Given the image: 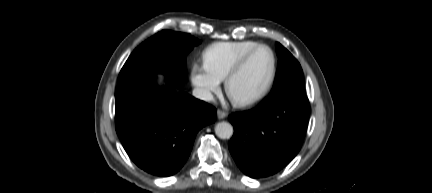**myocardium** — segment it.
<instances>
[{"label":"myocardium","mask_w":432,"mask_h":193,"mask_svg":"<svg viewBox=\"0 0 432 193\" xmlns=\"http://www.w3.org/2000/svg\"><path fill=\"white\" fill-rule=\"evenodd\" d=\"M267 49L270 51L271 55H272V69H271V73L269 76V79L265 85V87L262 89L261 92H259L257 95L250 97V98H246V99H236L232 96L231 91H230V85L232 80L234 79L235 76L238 75V73L243 69V67L246 65V63L248 62V60L250 59V57L257 52L259 49ZM276 74H277V55L276 52L274 51V49L267 45V44H258L257 46L253 47L252 49H250L248 52H246L233 66L232 68L229 70V72L227 73L225 79H224V86H225V91L227 96L229 97V99L231 100V102L239 108H248L251 107L257 103H259L260 101H262L270 92L275 78H276Z\"/></svg>","instance_id":"1"}]
</instances>
